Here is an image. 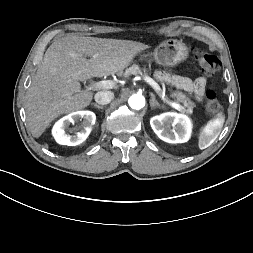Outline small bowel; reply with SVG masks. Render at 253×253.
Segmentation results:
<instances>
[{
    "mask_svg": "<svg viewBox=\"0 0 253 253\" xmlns=\"http://www.w3.org/2000/svg\"><path fill=\"white\" fill-rule=\"evenodd\" d=\"M160 77H165L164 75H160ZM173 84L177 87L193 93L197 98H201L204 95L206 88V80L203 77H198L194 80L189 79L184 76H178L172 78Z\"/></svg>",
    "mask_w": 253,
    "mask_h": 253,
    "instance_id": "c3829d8e",
    "label": "small bowel"
}]
</instances>
